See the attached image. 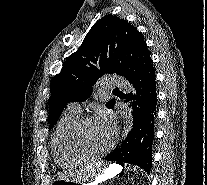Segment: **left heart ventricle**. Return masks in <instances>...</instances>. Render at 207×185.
I'll return each instance as SVG.
<instances>
[{
  "instance_id": "obj_1",
  "label": "left heart ventricle",
  "mask_w": 207,
  "mask_h": 185,
  "mask_svg": "<svg viewBox=\"0 0 207 185\" xmlns=\"http://www.w3.org/2000/svg\"><path fill=\"white\" fill-rule=\"evenodd\" d=\"M81 137L91 150L101 151L109 146L112 134L94 119L84 126Z\"/></svg>"
}]
</instances>
